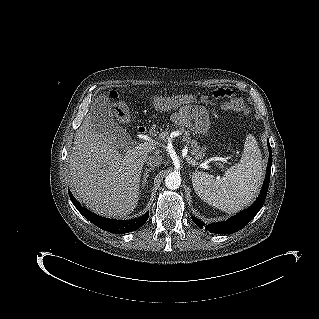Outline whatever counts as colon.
Listing matches in <instances>:
<instances>
[{"instance_id":"obj_1","label":"colon","mask_w":319,"mask_h":319,"mask_svg":"<svg viewBox=\"0 0 319 319\" xmlns=\"http://www.w3.org/2000/svg\"><path fill=\"white\" fill-rule=\"evenodd\" d=\"M232 96L233 93L231 91L219 89L212 93L211 99L214 101L224 102V104L228 107L243 109V107H240L238 104H235L233 101H231ZM111 97L115 99L118 97V94L113 92L111 93ZM149 100L156 107L170 108L193 101L195 100V97L188 94L165 96L160 93H156L151 95ZM116 116L122 122H126L129 119V112L124 104H118L116 106Z\"/></svg>"}]
</instances>
